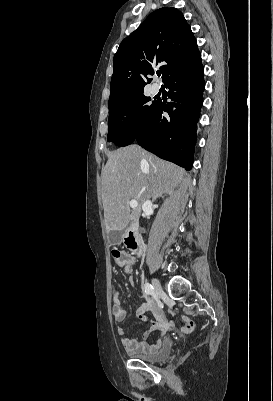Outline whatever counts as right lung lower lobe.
Listing matches in <instances>:
<instances>
[{"instance_id": "1", "label": "right lung lower lobe", "mask_w": 273, "mask_h": 401, "mask_svg": "<svg viewBox=\"0 0 273 401\" xmlns=\"http://www.w3.org/2000/svg\"><path fill=\"white\" fill-rule=\"evenodd\" d=\"M204 69L199 60L175 68L165 80L172 102L158 101L149 123L135 142L158 157L190 170L196 141V123L203 103ZM163 111L169 117L163 116Z\"/></svg>"}]
</instances>
